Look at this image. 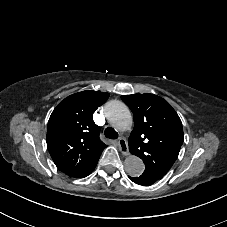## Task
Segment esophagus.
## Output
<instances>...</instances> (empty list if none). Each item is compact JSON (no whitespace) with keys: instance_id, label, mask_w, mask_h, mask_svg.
Wrapping results in <instances>:
<instances>
[{"instance_id":"34e87169","label":"esophagus","mask_w":227,"mask_h":227,"mask_svg":"<svg viewBox=\"0 0 227 227\" xmlns=\"http://www.w3.org/2000/svg\"><path fill=\"white\" fill-rule=\"evenodd\" d=\"M118 145H119V150L123 155L128 156L130 154L128 144L124 138H120L118 140Z\"/></svg>"}]
</instances>
